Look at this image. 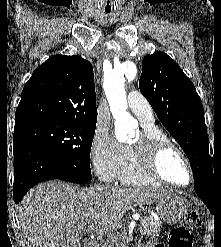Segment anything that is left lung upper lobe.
Here are the masks:
<instances>
[{"label": "left lung upper lobe", "mask_w": 221, "mask_h": 247, "mask_svg": "<svg viewBox=\"0 0 221 247\" xmlns=\"http://www.w3.org/2000/svg\"><path fill=\"white\" fill-rule=\"evenodd\" d=\"M139 88L188 156L195 183L215 176L203 106L193 83L179 65L161 51L146 55Z\"/></svg>", "instance_id": "1"}]
</instances>
